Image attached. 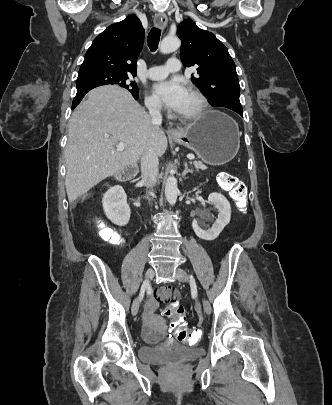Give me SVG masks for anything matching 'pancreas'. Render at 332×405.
I'll return each instance as SVG.
<instances>
[{
  "label": "pancreas",
  "instance_id": "1",
  "mask_svg": "<svg viewBox=\"0 0 332 405\" xmlns=\"http://www.w3.org/2000/svg\"><path fill=\"white\" fill-rule=\"evenodd\" d=\"M193 165L195 166V168L197 170H204L205 169V165H203L202 162H200V161H194Z\"/></svg>",
  "mask_w": 332,
  "mask_h": 405
}]
</instances>
